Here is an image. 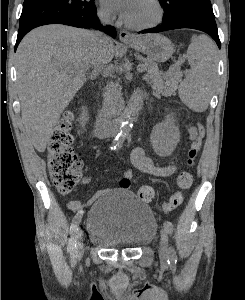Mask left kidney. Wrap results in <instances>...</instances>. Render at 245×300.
I'll use <instances>...</instances> for the list:
<instances>
[{
    "label": "left kidney",
    "mask_w": 245,
    "mask_h": 300,
    "mask_svg": "<svg viewBox=\"0 0 245 300\" xmlns=\"http://www.w3.org/2000/svg\"><path fill=\"white\" fill-rule=\"evenodd\" d=\"M155 150L160 155H169L180 139L178 128L174 125L173 115H167L166 121L157 126L151 135Z\"/></svg>",
    "instance_id": "5707ae66"
}]
</instances>
